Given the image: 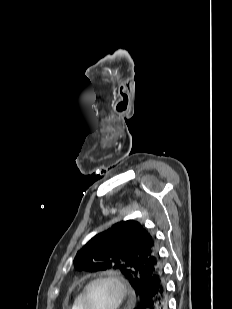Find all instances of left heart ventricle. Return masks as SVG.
Wrapping results in <instances>:
<instances>
[{
    "label": "left heart ventricle",
    "mask_w": 232,
    "mask_h": 309,
    "mask_svg": "<svg viewBox=\"0 0 232 309\" xmlns=\"http://www.w3.org/2000/svg\"><path fill=\"white\" fill-rule=\"evenodd\" d=\"M117 302L115 287L106 282L93 284L87 295L88 309H113Z\"/></svg>",
    "instance_id": "obj_1"
}]
</instances>
